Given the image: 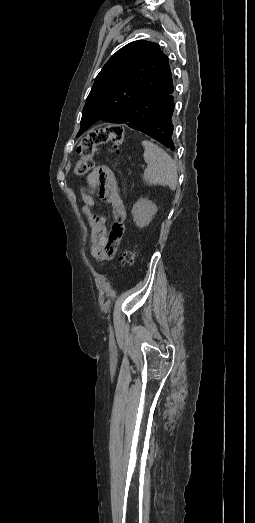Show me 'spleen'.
Listing matches in <instances>:
<instances>
[{"instance_id":"1","label":"spleen","mask_w":255,"mask_h":523,"mask_svg":"<svg viewBox=\"0 0 255 523\" xmlns=\"http://www.w3.org/2000/svg\"><path fill=\"white\" fill-rule=\"evenodd\" d=\"M141 144L145 148L143 158L148 164L144 172L145 182L149 186L164 184V186H169L170 190H176L178 174L171 156L152 142L144 140Z\"/></svg>"}]
</instances>
